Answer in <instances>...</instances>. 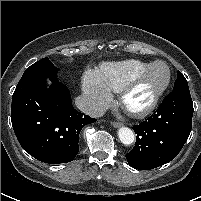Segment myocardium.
Returning <instances> with one entry per match:
<instances>
[{"mask_svg": "<svg viewBox=\"0 0 201 201\" xmlns=\"http://www.w3.org/2000/svg\"><path fill=\"white\" fill-rule=\"evenodd\" d=\"M164 65L167 69V79L164 85L158 89L152 97L146 102L145 104L139 106V107H131L128 102V96L132 92V90L138 85V83L151 71V69L156 65ZM172 80V72L169 65L164 61H155L152 62L148 67H146L144 70L136 74L134 77H132L128 82L125 83V85L122 87V89L119 91V101L122 106V108L131 116L136 118H142L149 114H151L157 105L159 104L162 96L165 94V92L168 90Z\"/></svg>", "mask_w": 201, "mask_h": 201, "instance_id": "1", "label": "myocardium"}]
</instances>
